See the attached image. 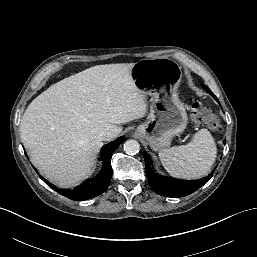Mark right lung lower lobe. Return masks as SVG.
I'll return each mask as SVG.
<instances>
[{"label":"right lung lower lobe","instance_id":"obj_1","mask_svg":"<svg viewBox=\"0 0 257 257\" xmlns=\"http://www.w3.org/2000/svg\"><path fill=\"white\" fill-rule=\"evenodd\" d=\"M121 142H123L122 137L102 147L101 159L103 161V164L100 172L95 177L87 179L74 190H54L59 192L63 196L76 201L91 199L103 193L108 188L112 177L111 156L113 152L118 148Z\"/></svg>","mask_w":257,"mask_h":257}]
</instances>
